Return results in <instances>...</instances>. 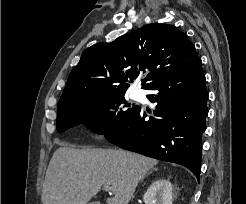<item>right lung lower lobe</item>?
<instances>
[{
  "instance_id": "obj_1",
  "label": "right lung lower lobe",
  "mask_w": 246,
  "mask_h": 204,
  "mask_svg": "<svg viewBox=\"0 0 246 204\" xmlns=\"http://www.w3.org/2000/svg\"><path fill=\"white\" fill-rule=\"evenodd\" d=\"M155 95L148 98L158 105L149 120L137 108L106 139L129 151L177 163L200 177L202 133L206 129L208 92L199 58L151 85Z\"/></svg>"
}]
</instances>
